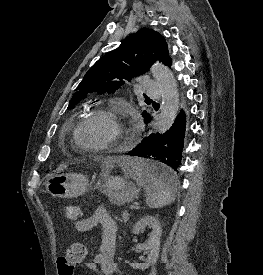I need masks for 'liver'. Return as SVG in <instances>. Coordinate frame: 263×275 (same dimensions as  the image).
<instances>
[{
    "mask_svg": "<svg viewBox=\"0 0 263 275\" xmlns=\"http://www.w3.org/2000/svg\"><path fill=\"white\" fill-rule=\"evenodd\" d=\"M127 158L126 157H109L107 159H105L104 163L106 165H109V164H112L114 162H117V163H122L123 161H125Z\"/></svg>",
    "mask_w": 263,
    "mask_h": 275,
    "instance_id": "6515ba94",
    "label": "liver"
}]
</instances>
